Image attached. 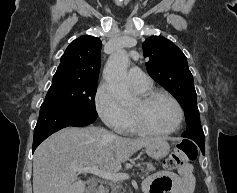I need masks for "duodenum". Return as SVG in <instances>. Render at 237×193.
Here are the masks:
<instances>
[{
	"label": "duodenum",
	"mask_w": 237,
	"mask_h": 193,
	"mask_svg": "<svg viewBox=\"0 0 237 193\" xmlns=\"http://www.w3.org/2000/svg\"><path fill=\"white\" fill-rule=\"evenodd\" d=\"M91 193V192H90ZM99 193H103V189H102V187H100V192Z\"/></svg>",
	"instance_id": "obj_1"
}]
</instances>
